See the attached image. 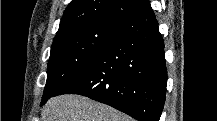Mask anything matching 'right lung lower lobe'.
Masks as SVG:
<instances>
[{
  "label": "right lung lower lobe",
  "mask_w": 217,
  "mask_h": 121,
  "mask_svg": "<svg viewBox=\"0 0 217 121\" xmlns=\"http://www.w3.org/2000/svg\"><path fill=\"white\" fill-rule=\"evenodd\" d=\"M164 53L155 14L148 6L127 21L99 56L53 96L80 94L138 121H159L167 85Z\"/></svg>",
  "instance_id": "right-lung-lower-lobe-1"
}]
</instances>
